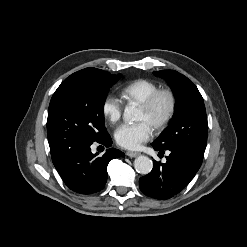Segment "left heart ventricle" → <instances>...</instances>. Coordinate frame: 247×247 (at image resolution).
<instances>
[{
	"label": "left heart ventricle",
	"instance_id": "b2bd125f",
	"mask_svg": "<svg viewBox=\"0 0 247 247\" xmlns=\"http://www.w3.org/2000/svg\"><path fill=\"white\" fill-rule=\"evenodd\" d=\"M167 108L168 100L166 97H162L158 100L157 104L151 112H147L142 108H139L137 119L139 121L145 120L153 127V125L164 116Z\"/></svg>",
	"mask_w": 247,
	"mask_h": 247
}]
</instances>
